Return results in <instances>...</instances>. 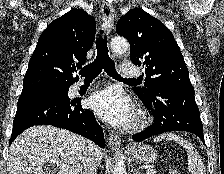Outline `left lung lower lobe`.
Listing matches in <instances>:
<instances>
[{
  "instance_id": "obj_1",
  "label": "left lung lower lobe",
  "mask_w": 224,
  "mask_h": 174,
  "mask_svg": "<svg viewBox=\"0 0 224 174\" xmlns=\"http://www.w3.org/2000/svg\"><path fill=\"white\" fill-rule=\"evenodd\" d=\"M194 89L166 87L156 89L149 98H140L154 116V123L138 134L135 142L170 131H187L204 142L203 125L194 98Z\"/></svg>"
}]
</instances>
